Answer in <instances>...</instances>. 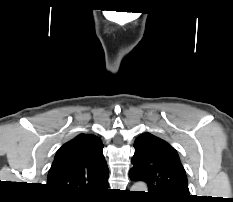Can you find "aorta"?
I'll return each instance as SVG.
<instances>
[{
    "label": "aorta",
    "instance_id": "762f6f07",
    "mask_svg": "<svg viewBox=\"0 0 233 202\" xmlns=\"http://www.w3.org/2000/svg\"><path fill=\"white\" fill-rule=\"evenodd\" d=\"M131 189L132 191H146L147 187L144 183L139 182V183H135Z\"/></svg>",
    "mask_w": 233,
    "mask_h": 202
}]
</instances>
